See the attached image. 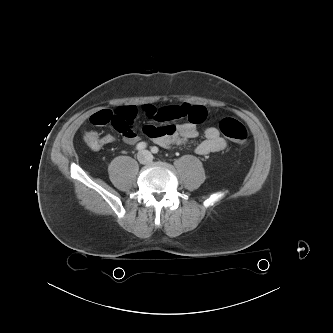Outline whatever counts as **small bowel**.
I'll return each instance as SVG.
<instances>
[{
  "instance_id": "small-bowel-1",
  "label": "small bowel",
  "mask_w": 333,
  "mask_h": 333,
  "mask_svg": "<svg viewBox=\"0 0 333 333\" xmlns=\"http://www.w3.org/2000/svg\"><path fill=\"white\" fill-rule=\"evenodd\" d=\"M123 109L121 108L116 112L118 113ZM141 112L154 121L155 124L145 125L141 130L131 126L126 131H119L127 144L137 143L141 140V135H144L164 148L183 145L198 137L197 125L207 118V110L204 106L188 103L160 109L152 105H144L141 107ZM95 114L90 117V121L94 125H96L94 123ZM177 120H185V122L177 124L175 123ZM113 139L111 135L105 136V144L112 142ZM226 147L227 142L220 135L219 130L215 127H209L204 132L203 140L196 146V153L208 155L223 151Z\"/></svg>"
}]
</instances>
